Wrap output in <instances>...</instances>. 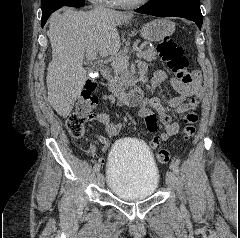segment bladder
Returning <instances> with one entry per match:
<instances>
[{
	"instance_id": "obj_1",
	"label": "bladder",
	"mask_w": 240,
	"mask_h": 238,
	"mask_svg": "<svg viewBox=\"0 0 240 238\" xmlns=\"http://www.w3.org/2000/svg\"><path fill=\"white\" fill-rule=\"evenodd\" d=\"M106 170L110 191L122 200L148 198L159 184V170L152 152L130 139L122 140L112 148Z\"/></svg>"
}]
</instances>
